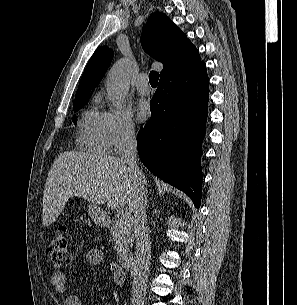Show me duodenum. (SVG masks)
I'll list each match as a JSON object with an SVG mask.
<instances>
[{
    "mask_svg": "<svg viewBox=\"0 0 297 305\" xmlns=\"http://www.w3.org/2000/svg\"><path fill=\"white\" fill-rule=\"evenodd\" d=\"M105 223V221H103ZM134 257L132 253L123 251L119 255V264L124 269H130L133 264Z\"/></svg>",
    "mask_w": 297,
    "mask_h": 305,
    "instance_id": "duodenum-1",
    "label": "duodenum"
}]
</instances>
